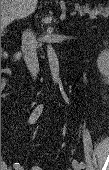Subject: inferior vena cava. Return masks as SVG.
<instances>
[{
    "mask_svg": "<svg viewBox=\"0 0 109 170\" xmlns=\"http://www.w3.org/2000/svg\"><path fill=\"white\" fill-rule=\"evenodd\" d=\"M22 52L27 68L35 79L39 72V65L36 54L35 37L30 30L25 31L22 35Z\"/></svg>",
    "mask_w": 109,
    "mask_h": 170,
    "instance_id": "602c4592",
    "label": "inferior vena cava"
}]
</instances>
